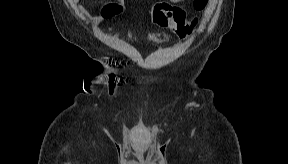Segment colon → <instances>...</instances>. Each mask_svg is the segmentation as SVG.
Masks as SVG:
<instances>
[{"label": "colon", "instance_id": "1", "mask_svg": "<svg viewBox=\"0 0 288 164\" xmlns=\"http://www.w3.org/2000/svg\"><path fill=\"white\" fill-rule=\"evenodd\" d=\"M198 3L204 5L205 1L200 0ZM119 11V6L116 4H110L101 9V16L103 19H106ZM151 19L158 27L170 29L182 39L192 35L198 24L197 18L188 20L184 11L180 7L164 3L156 4L153 7L151 11Z\"/></svg>", "mask_w": 288, "mask_h": 164}]
</instances>
